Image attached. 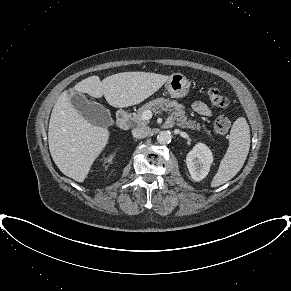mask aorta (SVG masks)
Masks as SVG:
<instances>
[{
  "label": "aorta",
  "instance_id": "obj_1",
  "mask_svg": "<svg viewBox=\"0 0 291 291\" xmlns=\"http://www.w3.org/2000/svg\"><path fill=\"white\" fill-rule=\"evenodd\" d=\"M172 135L169 131H162L157 136V142L160 144H168L171 142Z\"/></svg>",
  "mask_w": 291,
  "mask_h": 291
}]
</instances>
